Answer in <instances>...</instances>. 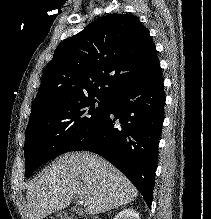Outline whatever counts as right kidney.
<instances>
[{
  "label": "right kidney",
  "instance_id": "1",
  "mask_svg": "<svg viewBox=\"0 0 211 219\" xmlns=\"http://www.w3.org/2000/svg\"><path fill=\"white\" fill-rule=\"evenodd\" d=\"M114 219H140L139 214L131 209H123L121 212H119Z\"/></svg>",
  "mask_w": 211,
  "mask_h": 219
}]
</instances>
